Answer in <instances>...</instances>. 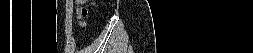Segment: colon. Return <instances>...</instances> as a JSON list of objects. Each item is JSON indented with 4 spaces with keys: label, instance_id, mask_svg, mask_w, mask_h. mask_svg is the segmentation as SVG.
I'll list each match as a JSON object with an SVG mask.
<instances>
[{
    "label": "colon",
    "instance_id": "5ec220e1",
    "mask_svg": "<svg viewBox=\"0 0 253 53\" xmlns=\"http://www.w3.org/2000/svg\"><path fill=\"white\" fill-rule=\"evenodd\" d=\"M80 18H85L87 11L85 8H81L78 12Z\"/></svg>",
    "mask_w": 253,
    "mask_h": 53
}]
</instances>
